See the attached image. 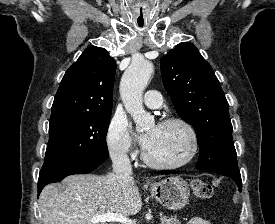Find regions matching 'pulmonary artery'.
<instances>
[{
	"mask_svg": "<svg viewBox=\"0 0 275 224\" xmlns=\"http://www.w3.org/2000/svg\"><path fill=\"white\" fill-rule=\"evenodd\" d=\"M144 103L149 108H157L161 104V95L156 90H148L144 97Z\"/></svg>",
	"mask_w": 275,
	"mask_h": 224,
	"instance_id": "e3ab8cb5",
	"label": "pulmonary artery"
}]
</instances>
